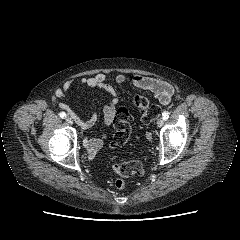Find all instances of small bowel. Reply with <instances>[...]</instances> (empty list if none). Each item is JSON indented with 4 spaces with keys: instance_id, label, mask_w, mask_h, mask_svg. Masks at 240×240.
I'll use <instances>...</instances> for the list:
<instances>
[{
    "instance_id": "c3829d8e",
    "label": "small bowel",
    "mask_w": 240,
    "mask_h": 240,
    "mask_svg": "<svg viewBox=\"0 0 240 240\" xmlns=\"http://www.w3.org/2000/svg\"><path fill=\"white\" fill-rule=\"evenodd\" d=\"M113 80L119 85L131 84L132 86L149 91L155 95L158 101L163 105H168L174 95V88L170 84L143 75H135L129 79L124 74H116L113 77ZM80 84L92 87L100 88L111 94L112 98L105 104L103 108V120L106 126H110L115 119L117 111L118 98L115 92L114 87L108 82L107 77L102 74H96L90 77H83L80 79ZM72 87V81H66L61 88H58L55 91V94L58 98H64L68 94L69 90ZM59 106L62 109L67 110L73 119L81 126L82 129H88L92 127L97 120V113L94 112L90 119L81 120L77 114L73 113L69 106L65 103L60 102ZM106 136L101 135L100 137L95 138H85L83 141L84 147L88 150L90 154L97 153L104 145Z\"/></svg>"
}]
</instances>
